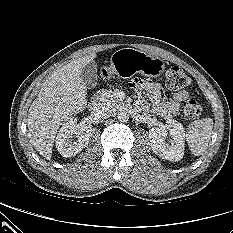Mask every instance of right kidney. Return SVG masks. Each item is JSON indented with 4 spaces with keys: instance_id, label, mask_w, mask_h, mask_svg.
I'll return each mask as SVG.
<instances>
[{
    "instance_id": "ca27d5eb",
    "label": "right kidney",
    "mask_w": 233,
    "mask_h": 233,
    "mask_svg": "<svg viewBox=\"0 0 233 233\" xmlns=\"http://www.w3.org/2000/svg\"><path fill=\"white\" fill-rule=\"evenodd\" d=\"M91 124H77V119L71 118L61 127L56 137V148L63 157H72L84 149L90 140ZM76 135L73 140L72 135Z\"/></svg>"
}]
</instances>
